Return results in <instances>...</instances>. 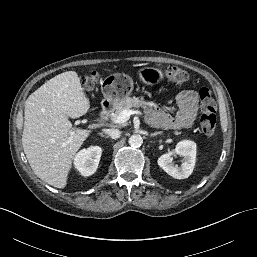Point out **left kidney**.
Masks as SVG:
<instances>
[{"mask_svg":"<svg viewBox=\"0 0 257 257\" xmlns=\"http://www.w3.org/2000/svg\"><path fill=\"white\" fill-rule=\"evenodd\" d=\"M183 157L180 166L175 165L173 158ZM196 161V144L190 140H183L176 145L174 151L163 154L158 159V165L170 176L176 179L188 178L193 172Z\"/></svg>","mask_w":257,"mask_h":257,"instance_id":"obj_1","label":"left kidney"}]
</instances>
